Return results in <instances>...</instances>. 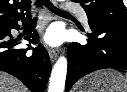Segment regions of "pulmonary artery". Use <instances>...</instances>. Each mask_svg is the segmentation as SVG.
Instances as JSON below:
<instances>
[{"label":"pulmonary artery","mask_w":127,"mask_h":92,"mask_svg":"<svg viewBox=\"0 0 127 92\" xmlns=\"http://www.w3.org/2000/svg\"><path fill=\"white\" fill-rule=\"evenodd\" d=\"M65 9L68 10V11H71V12H75L78 15V17H79V19H80V21L82 23H84V24H87L88 23L87 15L81 9H79L76 6L71 5V4L65 5Z\"/></svg>","instance_id":"1"}]
</instances>
